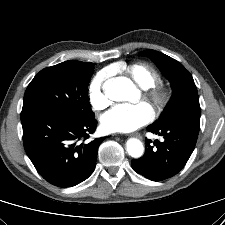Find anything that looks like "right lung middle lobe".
Masks as SVG:
<instances>
[{
    "instance_id": "right-lung-middle-lobe-1",
    "label": "right lung middle lobe",
    "mask_w": 225,
    "mask_h": 225,
    "mask_svg": "<svg viewBox=\"0 0 225 225\" xmlns=\"http://www.w3.org/2000/svg\"><path fill=\"white\" fill-rule=\"evenodd\" d=\"M93 63L68 60L44 68L28 85L23 108L44 107L60 110L80 120L91 119L87 88Z\"/></svg>"
}]
</instances>
